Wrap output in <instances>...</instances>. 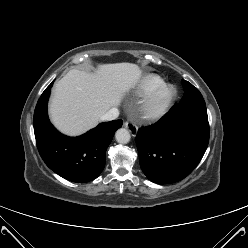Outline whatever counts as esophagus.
Listing matches in <instances>:
<instances>
[{"instance_id": "1", "label": "esophagus", "mask_w": 248, "mask_h": 248, "mask_svg": "<svg viewBox=\"0 0 248 248\" xmlns=\"http://www.w3.org/2000/svg\"><path fill=\"white\" fill-rule=\"evenodd\" d=\"M124 127L127 128L133 136L138 132V127L131 121H125Z\"/></svg>"}]
</instances>
